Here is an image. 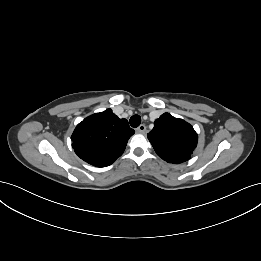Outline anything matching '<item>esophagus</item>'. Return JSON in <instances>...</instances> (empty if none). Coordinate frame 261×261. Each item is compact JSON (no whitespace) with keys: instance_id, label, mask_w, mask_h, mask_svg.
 Here are the masks:
<instances>
[{"instance_id":"1","label":"esophagus","mask_w":261,"mask_h":261,"mask_svg":"<svg viewBox=\"0 0 261 261\" xmlns=\"http://www.w3.org/2000/svg\"><path fill=\"white\" fill-rule=\"evenodd\" d=\"M136 131L138 133H145L146 132V126L144 124H141L137 129Z\"/></svg>"}]
</instances>
